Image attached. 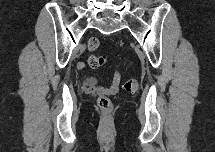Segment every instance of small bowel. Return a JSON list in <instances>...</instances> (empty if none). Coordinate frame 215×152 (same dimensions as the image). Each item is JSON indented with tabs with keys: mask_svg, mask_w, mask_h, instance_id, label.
Returning <instances> with one entry per match:
<instances>
[{
	"mask_svg": "<svg viewBox=\"0 0 215 152\" xmlns=\"http://www.w3.org/2000/svg\"><path fill=\"white\" fill-rule=\"evenodd\" d=\"M121 76L116 73L109 86H102L93 77L86 78L82 83V89L90 96L113 94L119 90Z\"/></svg>",
	"mask_w": 215,
	"mask_h": 152,
	"instance_id": "c3829d8e",
	"label": "small bowel"
}]
</instances>
